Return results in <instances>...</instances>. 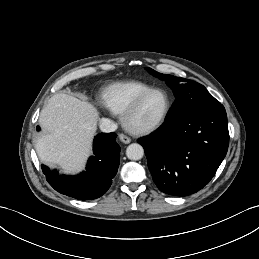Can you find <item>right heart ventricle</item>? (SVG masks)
Segmentation results:
<instances>
[{"mask_svg": "<svg viewBox=\"0 0 259 259\" xmlns=\"http://www.w3.org/2000/svg\"><path fill=\"white\" fill-rule=\"evenodd\" d=\"M150 89V85L138 81L112 83L101 93V102L107 110L121 116L138 97Z\"/></svg>", "mask_w": 259, "mask_h": 259, "instance_id": "right-heart-ventricle-1", "label": "right heart ventricle"}]
</instances>
